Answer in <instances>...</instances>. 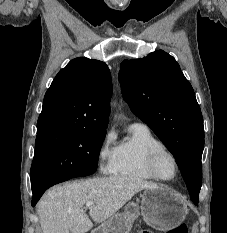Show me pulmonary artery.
Wrapping results in <instances>:
<instances>
[{
  "instance_id": "obj_1",
  "label": "pulmonary artery",
  "mask_w": 227,
  "mask_h": 233,
  "mask_svg": "<svg viewBox=\"0 0 227 233\" xmlns=\"http://www.w3.org/2000/svg\"><path fill=\"white\" fill-rule=\"evenodd\" d=\"M132 125H134V126H142V127H147L144 123H142V122H135V123H133Z\"/></svg>"
}]
</instances>
